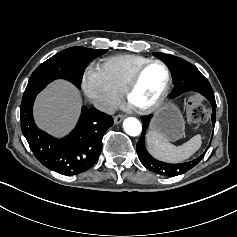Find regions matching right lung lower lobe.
Returning a JSON list of instances; mask_svg holds the SVG:
<instances>
[{
  "instance_id": "1",
  "label": "right lung lower lobe",
  "mask_w": 237,
  "mask_h": 237,
  "mask_svg": "<svg viewBox=\"0 0 237 237\" xmlns=\"http://www.w3.org/2000/svg\"><path fill=\"white\" fill-rule=\"evenodd\" d=\"M35 97L22 99L21 129L36 158L47 168L64 175H77L90 169L98 160L105 131L113 119L95 108L83 107L76 128L57 140L37 128L32 107Z\"/></svg>"
}]
</instances>
